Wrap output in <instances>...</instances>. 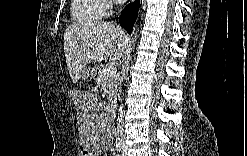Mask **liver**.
Returning <instances> with one entry per match:
<instances>
[{"label":"liver","mask_w":247,"mask_h":156,"mask_svg":"<svg viewBox=\"0 0 247 156\" xmlns=\"http://www.w3.org/2000/svg\"><path fill=\"white\" fill-rule=\"evenodd\" d=\"M128 37L110 22H85L69 25L64 33V52L73 83L90 63L110 58L119 60L127 47Z\"/></svg>","instance_id":"1"}]
</instances>
